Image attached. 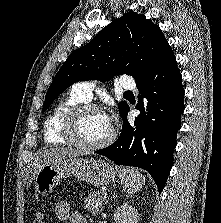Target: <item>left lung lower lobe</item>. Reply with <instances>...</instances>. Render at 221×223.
Returning a JSON list of instances; mask_svg holds the SVG:
<instances>
[{
    "mask_svg": "<svg viewBox=\"0 0 221 223\" xmlns=\"http://www.w3.org/2000/svg\"><path fill=\"white\" fill-rule=\"evenodd\" d=\"M140 114L129 123V106L121 113L122 132L109 147L95 153L104 155L117 165L147 170L161 192L173 163L176 133L181 128L184 111V89L176 58L169 46L151 73L139 83ZM143 98L148 103L144 105Z\"/></svg>",
    "mask_w": 221,
    "mask_h": 223,
    "instance_id": "1",
    "label": "left lung lower lobe"
}]
</instances>
